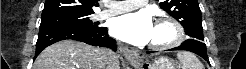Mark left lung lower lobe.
I'll return each mask as SVG.
<instances>
[{"label": "left lung lower lobe", "mask_w": 246, "mask_h": 69, "mask_svg": "<svg viewBox=\"0 0 246 69\" xmlns=\"http://www.w3.org/2000/svg\"><path fill=\"white\" fill-rule=\"evenodd\" d=\"M171 50H186V51L193 52L201 56L209 63L207 51H206V45L202 41H198L195 39H188L184 41L180 46L172 48ZM147 53H152V51H147Z\"/></svg>", "instance_id": "left-lung-lower-lobe-1"}]
</instances>
